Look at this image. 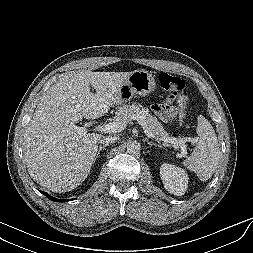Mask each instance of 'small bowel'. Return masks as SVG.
Returning a JSON list of instances; mask_svg holds the SVG:
<instances>
[{
	"mask_svg": "<svg viewBox=\"0 0 253 253\" xmlns=\"http://www.w3.org/2000/svg\"><path fill=\"white\" fill-rule=\"evenodd\" d=\"M152 110L162 119L163 121H168L173 118L177 109L172 106V100L168 99L162 104H156L152 106Z\"/></svg>",
	"mask_w": 253,
	"mask_h": 253,
	"instance_id": "1",
	"label": "small bowel"
}]
</instances>
